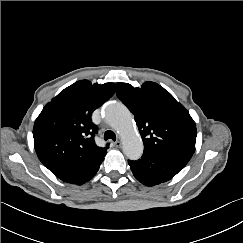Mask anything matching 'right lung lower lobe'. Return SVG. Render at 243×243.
<instances>
[{
	"label": "right lung lower lobe",
	"instance_id": "obj_1",
	"mask_svg": "<svg viewBox=\"0 0 243 243\" xmlns=\"http://www.w3.org/2000/svg\"><path fill=\"white\" fill-rule=\"evenodd\" d=\"M103 160L104 157L59 171L54 175L64 182L81 185L95 176Z\"/></svg>",
	"mask_w": 243,
	"mask_h": 243
}]
</instances>
